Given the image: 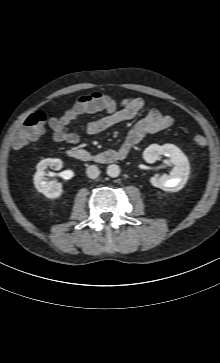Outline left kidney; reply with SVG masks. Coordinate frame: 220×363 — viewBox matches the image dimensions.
Listing matches in <instances>:
<instances>
[{
    "label": "left kidney",
    "mask_w": 220,
    "mask_h": 363,
    "mask_svg": "<svg viewBox=\"0 0 220 363\" xmlns=\"http://www.w3.org/2000/svg\"><path fill=\"white\" fill-rule=\"evenodd\" d=\"M160 155L169 157L170 162L175 166L170 175L152 177L150 182L153 186L165 191L177 192L187 182L190 166L185 154L175 145L165 144L162 146L153 144L147 147L143 153L148 163L155 162Z\"/></svg>",
    "instance_id": "5707ae66"
}]
</instances>
